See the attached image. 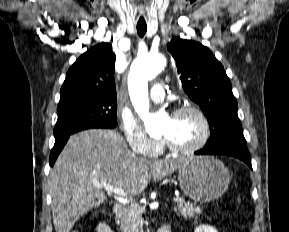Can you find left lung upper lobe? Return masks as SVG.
Wrapping results in <instances>:
<instances>
[{
  "label": "left lung upper lobe",
  "instance_id": "left-lung-upper-lobe-1",
  "mask_svg": "<svg viewBox=\"0 0 289 232\" xmlns=\"http://www.w3.org/2000/svg\"><path fill=\"white\" fill-rule=\"evenodd\" d=\"M167 49L176 61L185 93L208 119L210 138L204 148L246 145L231 82L213 53L199 42L180 37L174 38Z\"/></svg>",
  "mask_w": 289,
  "mask_h": 232
}]
</instances>
